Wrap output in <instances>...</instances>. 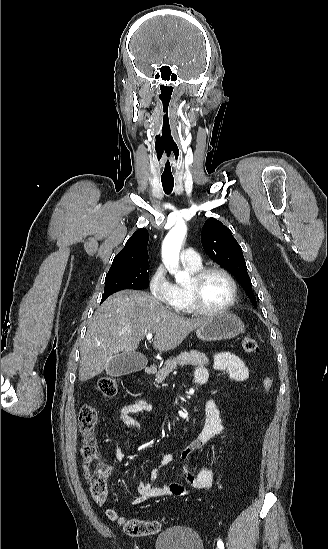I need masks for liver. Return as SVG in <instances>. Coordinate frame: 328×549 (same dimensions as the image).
I'll use <instances>...</instances> for the list:
<instances>
[{
	"mask_svg": "<svg viewBox=\"0 0 328 549\" xmlns=\"http://www.w3.org/2000/svg\"><path fill=\"white\" fill-rule=\"evenodd\" d=\"M203 323L205 319L180 317L144 291L114 293L91 319L81 347L78 379L88 381L100 375L117 353H136L148 333H155L154 349L171 351Z\"/></svg>",
	"mask_w": 328,
	"mask_h": 549,
	"instance_id": "6515ba94",
	"label": "liver"
}]
</instances>
